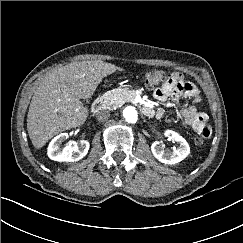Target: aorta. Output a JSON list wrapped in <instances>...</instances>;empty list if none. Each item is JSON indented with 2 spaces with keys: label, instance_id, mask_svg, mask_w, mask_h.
<instances>
[{
  "label": "aorta",
  "instance_id": "762f6f07",
  "mask_svg": "<svg viewBox=\"0 0 243 243\" xmlns=\"http://www.w3.org/2000/svg\"><path fill=\"white\" fill-rule=\"evenodd\" d=\"M123 117L129 123H135L138 120V113L133 106H127L123 110Z\"/></svg>",
  "mask_w": 243,
  "mask_h": 243
}]
</instances>
